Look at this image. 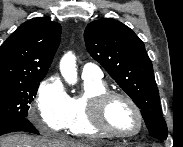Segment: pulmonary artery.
<instances>
[{"label":"pulmonary artery","instance_id":"pulmonary-artery-1","mask_svg":"<svg viewBox=\"0 0 183 147\" xmlns=\"http://www.w3.org/2000/svg\"><path fill=\"white\" fill-rule=\"evenodd\" d=\"M81 75L83 79L101 81L103 72L98 65L94 63H87L83 66Z\"/></svg>","mask_w":183,"mask_h":147}]
</instances>
